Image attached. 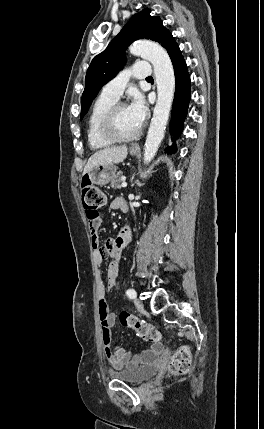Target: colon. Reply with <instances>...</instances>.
<instances>
[{
  "instance_id": "1",
  "label": "colon",
  "mask_w": 264,
  "mask_h": 429,
  "mask_svg": "<svg viewBox=\"0 0 264 429\" xmlns=\"http://www.w3.org/2000/svg\"><path fill=\"white\" fill-rule=\"evenodd\" d=\"M82 204L89 221H95L99 218L100 210L106 204V197L103 192L90 182H83L81 185ZM122 326L134 329L137 335L146 341L159 343L161 340L160 332L152 325L139 320L133 314L122 311L119 316ZM191 353L187 346L178 349L170 359L169 372L172 375H183L190 368Z\"/></svg>"
}]
</instances>
